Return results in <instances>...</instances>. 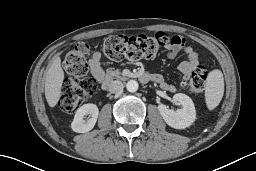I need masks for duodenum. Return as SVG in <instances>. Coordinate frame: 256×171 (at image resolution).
<instances>
[{"label": "duodenum", "instance_id": "410a0bca", "mask_svg": "<svg viewBox=\"0 0 256 171\" xmlns=\"http://www.w3.org/2000/svg\"><path fill=\"white\" fill-rule=\"evenodd\" d=\"M129 79H137L142 83H148L152 80V77L148 74L140 75H123L120 73H110L107 75L102 82V89L107 90L110 84L114 81H127Z\"/></svg>", "mask_w": 256, "mask_h": 171}]
</instances>
